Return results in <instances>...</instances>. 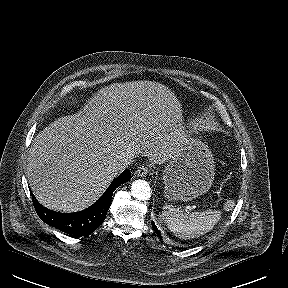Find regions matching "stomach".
Returning a JSON list of instances; mask_svg holds the SVG:
<instances>
[{"label":"stomach","mask_w":288,"mask_h":288,"mask_svg":"<svg viewBox=\"0 0 288 288\" xmlns=\"http://www.w3.org/2000/svg\"><path fill=\"white\" fill-rule=\"evenodd\" d=\"M162 174L167 199L190 201L212 186L215 175L212 152L199 139L187 140L173 153Z\"/></svg>","instance_id":"obj_1"}]
</instances>
